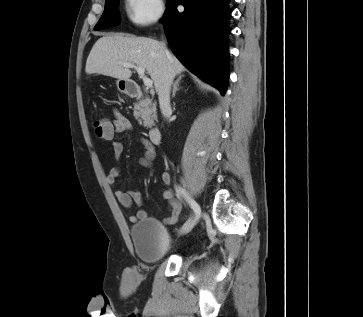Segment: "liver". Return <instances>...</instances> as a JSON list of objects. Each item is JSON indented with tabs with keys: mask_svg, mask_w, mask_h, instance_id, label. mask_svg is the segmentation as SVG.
Returning a JSON list of instances; mask_svg holds the SVG:
<instances>
[{
	"mask_svg": "<svg viewBox=\"0 0 363 317\" xmlns=\"http://www.w3.org/2000/svg\"><path fill=\"white\" fill-rule=\"evenodd\" d=\"M168 62L175 75L185 70L175 56L171 55V59H167L163 45L157 40L110 34L98 39L92 47L86 61L85 72L89 75L101 74L129 80L132 75L131 70L121 66L120 63L136 64L146 69L158 91Z\"/></svg>",
	"mask_w": 363,
	"mask_h": 317,
	"instance_id": "obj_1",
	"label": "liver"
}]
</instances>
